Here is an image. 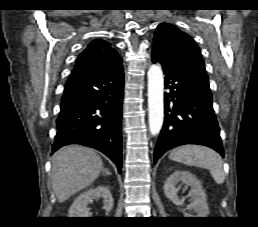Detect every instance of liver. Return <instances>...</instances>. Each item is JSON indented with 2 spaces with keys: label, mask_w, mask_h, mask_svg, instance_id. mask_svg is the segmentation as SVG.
I'll return each mask as SVG.
<instances>
[{
  "label": "liver",
  "mask_w": 258,
  "mask_h": 227,
  "mask_svg": "<svg viewBox=\"0 0 258 227\" xmlns=\"http://www.w3.org/2000/svg\"><path fill=\"white\" fill-rule=\"evenodd\" d=\"M103 170V162L95 150L70 145L52 157L51 184L59 202L91 185Z\"/></svg>",
  "instance_id": "1"
}]
</instances>
